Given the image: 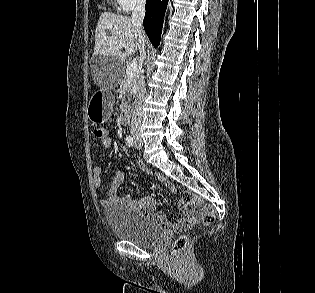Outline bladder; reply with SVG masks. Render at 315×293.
Returning <instances> with one entry per match:
<instances>
[{"label":"bladder","mask_w":315,"mask_h":293,"mask_svg":"<svg viewBox=\"0 0 315 293\" xmlns=\"http://www.w3.org/2000/svg\"><path fill=\"white\" fill-rule=\"evenodd\" d=\"M104 217L116 237L138 246H152L163 234L153 217L124 202L110 205L104 210Z\"/></svg>","instance_id":"obj_1"}]
</instances>
